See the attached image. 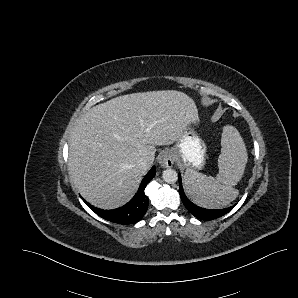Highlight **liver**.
Returning <instances> with one entry per match:
<instances>
[{
  "mask_svg": "<svg viewBox=\"0 0 298 298\" xmlns=\"http://www.w3.org/2000/svg\"><path fill=\"white\" fill-rule=\"evenodd\" d=\"M198 120L195 100L181 90L161 89L116 96L87 110L70 136L69 172L92 206L114 210L137 192L153 164L156 145H170L185 123Z\"/></svg>",
  "mask_w": 298,
  "mask_h": 298,
  "instance_id": "liver-1",
  "label": "liver"
}]
</instances>
